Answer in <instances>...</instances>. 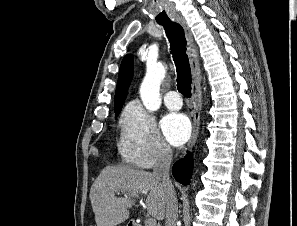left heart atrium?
<instances>
[{"mask_svg":"<svg viewBox=\"0 0 297 226\" xmlns=\"http://www.w3.org/2000/svg\"><path fill=\"white\" fill-rule=\"evenodd\" d=\"M166 139L174 146L182 145L190 135L191 127L184 114L170 113L161 122Z\"/></svg>","mask_w":297,"mask_h":226,"instance_id":"obj_1","label":"left heart atrium"}]
</instances>
